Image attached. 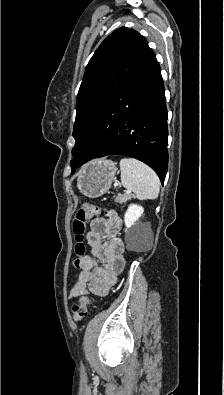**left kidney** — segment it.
I'll return each instance as SVG.
<instances>
[{
	"instance_id": "left-kidney-1",
	"label": "left kidney",
	"mask_w": 224,
	"mask_h": 395,
	"mask_svg": "<svg viewBox=\"0 0 224 395\" xmlns=\"http://www.w3.org/2000/svg\"><path fill=\"white\" fill-rule=\"evenodd\" d=\"M144 212V208L137 204L129 205L125 215H124V222L127 228L133 226L141 217Z\"/></svg>"
}]
</instances>
